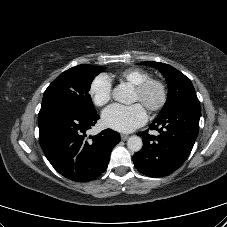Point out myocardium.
Masks as SVG:
<instances>
[{"label": "myocardium", "instance_id": "1", "mask_svg": "<svg viewBox=\"0 0 227 227\" xmlns=\"http://www.w3.org/2000/svg\"><path fill=\"white\" fill-rule=\"evenodd\" d=\"M152 88H156L159 93V97L156 102L147 105V109L150 112L160 111L167 103L168 100V88L167 85L160 79L148 78L142 83L135 86V91L140 96H145Z\"/></svg>", "mask_w": 227, "mask_h": 227}]
</instances>
